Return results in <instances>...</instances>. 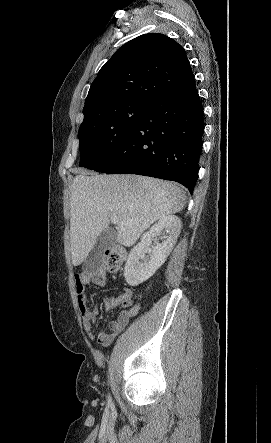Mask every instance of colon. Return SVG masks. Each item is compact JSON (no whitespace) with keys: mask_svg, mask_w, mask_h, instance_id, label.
Returning <instances> with one entry per match:
<instances>
[{"mask_svg":"<svg viewBox=\"0 0 271 443\" xmlns=\"http://www.w3.org/2000/svg\"><path fill=\"white\" fill-rule=\"evenodd\" d=\"M127 250L125 247L117 245L109 247L105 251V266L110 272H117L122 267L126 258Z\"/></svg>","mask_w":271,"mask_h":443,"instance_id":"1","label":"colon"}]
</instances>
